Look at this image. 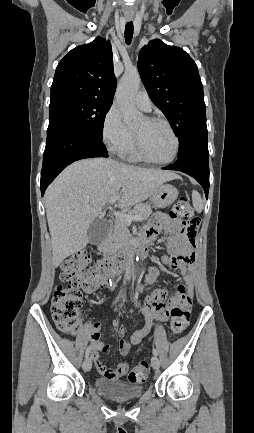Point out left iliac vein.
I'll return each mask as SVG.
<instances>
[{
	"label": "left iliac vein",
	"mask_w": 254,
	"mask_h": 433,
	"mask_svg": "<svg viewBox=\"0 0 254 433\" xmlns=\"http://www.w3.org/2000/svg\"><path fill=\"white\" fill-rule=\"evenodd\" d=\"M151 365L155 370H158L160 368V361L157 356H153L151 358Z\"/></svg>",
	"instance_id": "1"
}]
</instances>
